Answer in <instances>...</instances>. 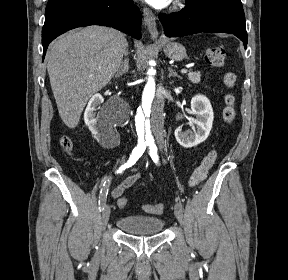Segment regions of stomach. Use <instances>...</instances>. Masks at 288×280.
Returning <instances> with one entry per match:
<instances>
[{
  "label": "stomach",
  "instance_id": "obj_1",
  "mask_svg": "<svg viewBox=\"0 0 288 280\" xmlns=\"http://www.w3.org/2000/svg\"><path fill=\"white\" fill-rule=\"evenodd\" d=\"M167 57L175 61H181L187 57L185 47L177 42H165L162 44Z\"/></svg>",
  "mask_w": 288,
  "mask_h": 280
}]
</instances>
